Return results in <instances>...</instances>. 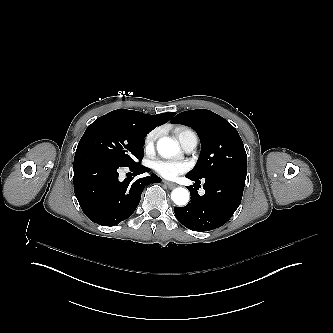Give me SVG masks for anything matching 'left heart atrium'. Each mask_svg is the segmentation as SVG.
I'll use <instances>...</instances> for the list:
<instances>
[{
  "mask_svg": "<svg viewBox=\"0 0 333 333\" xmlns=\"http://www.w3.org/2000/svg\"><path fill=\"white\" fill-rule=\"evenodd\" d=\"M189 166L185 162L176 161H158L155 164V171L167 179H174L185 173Z\"/></svg>",
  "mask_w": 333,
  "mask_h": 333,
  "instance_id": "1",
  "label": "left heart atrium"
}]
</instances>
